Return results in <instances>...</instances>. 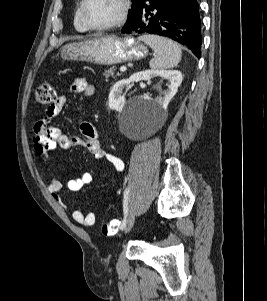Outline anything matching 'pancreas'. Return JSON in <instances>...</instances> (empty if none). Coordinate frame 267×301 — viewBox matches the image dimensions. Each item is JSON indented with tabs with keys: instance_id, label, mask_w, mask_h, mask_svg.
<instances>
[{
	"instance_id": "pancreas-1",
	"label": "pancreas",
	"mask_w": 267,
	"mask_h": 301,
	"mask_svg": "<svg viewBox=\"0 0 267 301\" xmlns=\"http://www.w3.org/2000/svg\"><path fill=\"white\" fill-rule=\"evenodd\" d=\"M114 73H115V67H111L107 70H105L104 72V75L106 77V81L108 80V78L111 76V77H114ZM119 75V73H117V76Z\"/></svg>"
}]
</instances>
